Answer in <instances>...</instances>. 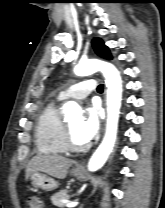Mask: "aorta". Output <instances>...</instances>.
Instances as JSON below:
<instances>
[{"label": "aorta", "instance_id": "762f6f07", "mask_svg": "<svg viewBox=\"0 0 165 208\" xmlns=\"http://www.w3.org/2000/svg\"><path fill=\"white\" fill-rule=\"evenodd\" d=\"M97 71L103 74L107 84V126L102 143L88 162V170L91 172L99 170L104 165L114 148L122 100L120 73L111 63L90 59L81 61L74 68V73L77 76H87ZM63 111L66 117L80 116L82 114L80 106L74 101L65 103Z\"/></svg>", "mask_w": 165, "mask_h": 208}]
</instances>
